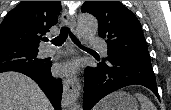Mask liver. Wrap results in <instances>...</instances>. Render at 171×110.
I'll list each match as a JSON object with an SVG mask.
<instances>
[{
    "label": "liver",
    "mask_w": 171,
    "mask_h": 110,
    "mask_svg": "<svg viewBox=\"0 0 171 110\" xmlns=\"http://www.w3.org/2000/svg\"><path fill=\"white\" fill-rule=\"evenodd\" d=\"M0 110H53V107L32 79L18 72H4L0 73Z\"/></svg>",
    "instance_id": "liver-1"
}]
</instances>
